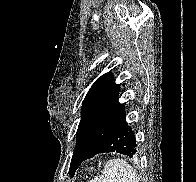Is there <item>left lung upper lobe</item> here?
Here are the masks:
<instances>
[{
	"label": "left lung upper lobe",
	"mask_w": 196,
	"mask_h": 182,
	"mask_svg": "<svg viewBox=\"0 0 196 182\" xmlns=\"http://www.w3.org/2000/svg\"><path fill=\"white\" fill-rule=\"evenodd\" d=\"M113 80L111 73L99 77L83 101L70 174L76 163L74 154L93 151L125 118L123 104L118 101L120 88Z\"/></svg>",
	"instance_id": "5c2ea615"
}]
</instances>
